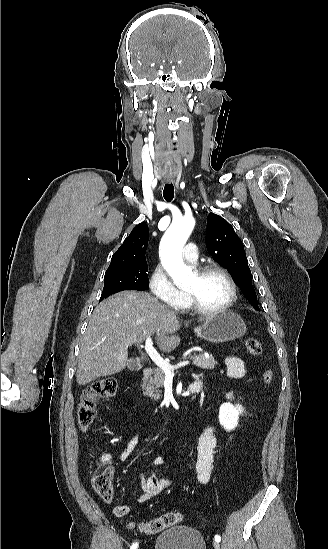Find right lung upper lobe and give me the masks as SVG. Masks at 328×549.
I'll return each mask as SVG.
<instances>
[{"label":"right lung upper lobe","instance_id":"obj_1","mask_svg":"<svg viewBox=\"0 0 328 549\" xmlns=\"http://www.w3.org/2000/svg\"><path fill=\"white\" fill-rule=\"evenodd\" d=\"M149 229L146 223L138 224L113 254L107 270L123 267L127 264L146 261L145 252L148 244Z\"/></svg>","mask_w":328,"mask_h":549}]
</instances>
